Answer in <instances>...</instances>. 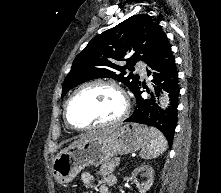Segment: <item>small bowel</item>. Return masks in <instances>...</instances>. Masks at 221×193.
<instances>
[{"label":"small bowel","instance_id":"c3829d8e","mask_svg":"<svg viewBox=\"0 0 221 193\" xmlns=\"http://www.w3.org/2000/svg\"><path fill=\"white\" fill-rule=\"evenodd\" d=\"M81 180L86 187H90L93 182V175L90 172L85 171L81 174ZM114 181L115 180L113 176L111 175L104 176L102 183L98 187V192L110 193L109 186L113 185Z\"/></svg>","mask_w":221,"mask_h":193}]
</instances>
